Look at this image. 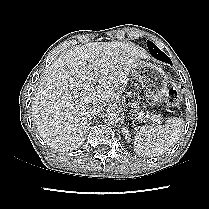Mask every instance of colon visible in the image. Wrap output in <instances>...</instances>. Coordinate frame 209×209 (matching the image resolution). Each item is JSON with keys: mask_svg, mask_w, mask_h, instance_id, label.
<instances>
[{"mask_svg": "<svg viewBox=\"0 0 209 209\" xmlns=\"http://www.w3.org/2000/svg\"><path fill=\"white\" fill-rule=\"evenodd\" d=\"M167 103L171 106L177 105L182 99V91L177 86H171L167 92Z\"/></svg>", "mask_w": 209, "mask_h": 209, "instance_id": "1", "label": "colon"}]
</instances>
